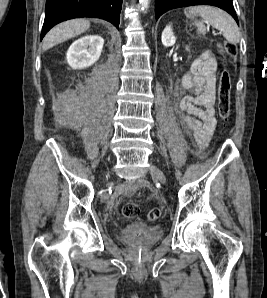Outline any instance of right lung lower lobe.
I'll use <instances>...</instances> for the list:
<instances>
[{"label": "right lung lower lobe", "instance_id": "1", "mask_svg": "<svg viewBox=\"0 0 267 298\" xmlns=\"http://www.w3.org/2000/svg\"><path fill=\"white\" fill-rule=\"evenodd\" d=\"M122 0H47L40 39L56 24L80 17L100 18L119 28Z\"/></svg>", "mask_w": 267, "mask_h": 298}]
</instances>
